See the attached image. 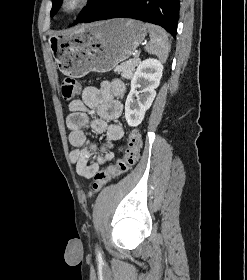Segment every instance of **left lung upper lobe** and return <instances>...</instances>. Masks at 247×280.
Here are the masks:
<instances>
[{"label":"left lung upper lobe","instance_id":"obj_1","mask_svg":"<svg viewBox=\"0 0 247 280\" xmlns=\"http://www.w3.org/2000/svg\"><path fill=\"white\" fill-rule=\"evenodd\" d=\"M108 0H92L91 4L86 6L79 18L77 19L76 22H78L79 20L85 18L86 16H88L92 11H94L96 8H98L99 6L103 5L104 3H106ZM53 3V7L51 9V17L54 16V14L58 11V8L60 6L61 0H52Z\"/></svg>","mask_w":247,"mask_h":280}]
</instances>
